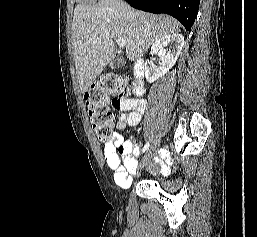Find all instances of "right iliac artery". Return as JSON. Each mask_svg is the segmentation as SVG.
<instances>
[{
    "label": "right iliac artery",
    "mask_w": 257,
    "mask_h": 237,
    "mask_svg": "<svg viewBox=\"0 0 257 237\" xmlns=\"http://www.w3.org/2000/svg\"><path fill=\"white\" fill-rule=\"evenodd\" d=\"M149 145H150L149 142H147V143L144 145V147H143V149H142V153H144V152L149 148ZM159 153H160V155H161L162 157L168 155V152H167L166 150H164V149H161V150L159 151Z\"/></svg>",
    "instance_id": "right-iliac-artery-1"
}]
</instances>
